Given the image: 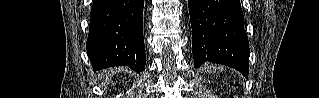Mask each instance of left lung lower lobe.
Masks as SVG:
<instances>
[{
    "mask_svg": "<svg viewBox=\"0 0 319 98\" xmlns=\"http://www.w3.org/2000/svg\"><path fill=\"white\" fill-rule=\"evenodd\" d=\"M195 67L227 65L248 77L249 43L239 0H188Z\"/></svg>",
    "mask_w": 319,
    "mask_h": 98,
    "instance_id": "left-lung-lower-lobe-1",
    "label": "left lung lower lobe"
}]
</instances>
